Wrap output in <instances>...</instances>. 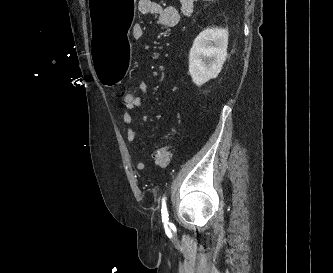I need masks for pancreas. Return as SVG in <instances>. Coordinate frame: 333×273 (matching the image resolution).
I'll list each match as a JSON object with an SVG mask.
<instances>
[{
  "mask_svg": "<svg viewBox=\"0 0 333 273\" xmlns=\"http://www.w3.org/2000/svg\"><path fill=\"white\" fill-rule=\"evenodd\" d=\"M194 0H181V13L185 16H190L193 12Z\"/></svg>",
  "mask_w": 333,
  "mask_h": 273,
  "instance_id": "pancreas-1",
  "label": "pancreas"
}]
</instances>
